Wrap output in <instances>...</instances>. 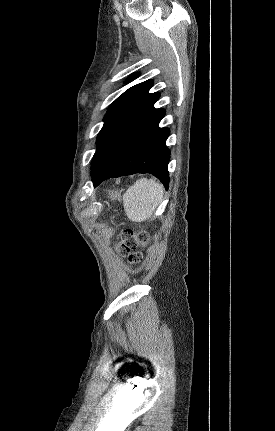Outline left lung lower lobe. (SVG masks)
Returning <instances> with one entry per match:
<instances>
[{"instance_id":"1","label":"left lung lower lobe","mask_w":275,"mask_h":431,"mask_svg":"<svg viewBox=\"0 0 275 431\" xmlns=\"http://www.w3.org/2000/svg\"><path fill=\"white\" fill-rule=\"evenodd\" d=\"M165 115L162 109L117 155L112 164L103 172L92 177L96 187L111 177L135 173H150L160 179L164 187H169L168 162L170 151L165 142L168 128H160L159 122Z\"/></svg>"}]
</instances>
